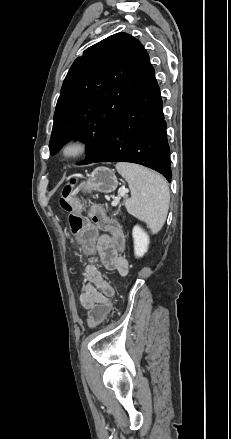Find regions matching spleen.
I'll return each instance as SVG.
<instances>
[{"instance_id":"3e777b00","label":"spleen","mask_w":231,"mask_h":439,"mask_svg":"<svg viewBox=\"0 0 231 439\" xmlns=\"http://www.w3.org/2000/svg\"><path fill=\"white\" fill-rule=\"evenodd\" d=\"M116 169L131 190V198L125 202L127 211L157 233L164 225L169 209L170 192L166 180L149 169L131 163H118Z\"/></svg>"}]
</instances>
